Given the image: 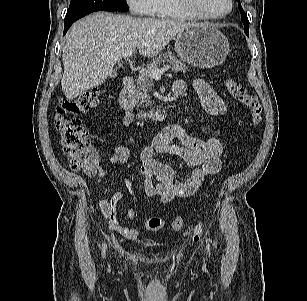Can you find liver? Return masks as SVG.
I'll return each instance as SVG.
<instances>
[{"label": "liver", "mask_w": 307, "mask_h": 301, "mask_svg": "<svg viewBox=\"0 0 307 301\" xmlns=\"http://www.w3.org/2000/svg\"><path fill=\"white\" fill-rule=\"evenodd\" d=\"M192 23L172 19L137 18L95 13L71 27L62 49V90L68 100L101 85L117 61L136 47L142 57H154Z\"/></svg>", "instance_id": "6515ba94"}]
</instances>
